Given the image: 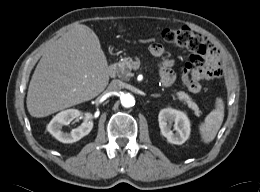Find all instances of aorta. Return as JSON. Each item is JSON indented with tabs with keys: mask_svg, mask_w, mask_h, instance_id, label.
I'll return each mask as SVG.
<instances>
[{
	"mask_svg": "<svg viewBox=\"0 0 260 192\" xmlns=\"http://www.w3.org/2000/svg\"><path fill=\"white\" fill-rule=\"evenodd\" d=\"M120 100L122 106L125 108H129L135 105V99L130 93L123 94Z\"/></svg>",
	"mask_w": 260,
	"mask_h": 192,
	"instance_id": "762f6f07",
	"label": "aorta"
}]
</instances>
